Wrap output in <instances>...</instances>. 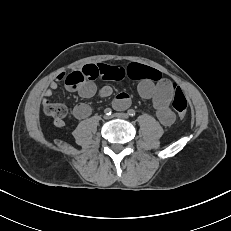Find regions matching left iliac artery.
<instances>
[{
  "label": "left iliac artery",
  "mask_w": 231,
  "mask_h": 231,
  "mask_svg": "<svg viewBox=\"0 0 231 231\" xmlns=\"http://www.w3.org/2000/svg\"><path fill=\"white\" fill-rule=\"evenodd\" d=\"M127 113H128V115H130V116H135V110H133V109H129L128 111H127Z\"/></svg>",
  "instance_id": "1"
}]
</instances>
